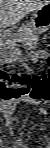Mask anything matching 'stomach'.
Returning <instances> with one entry per match:
<instances>
[{"label":"stomach","instance_id":"0dacf381","mask_svg":"<svg viewBox=\"0 0 50 148\" xmlns=\"http://www.w3.org/2000/svg\"><path fill=\"white\" fill-rule=\"evenodd\" d=\"M31 27L38 33L45 32L50 28L49 4L36 10L31 18ZM6 49V55L3 58V61L5 62H12L17 58L18 55H20V51L18 49H15L14 46L8 47Z\"/></svg>","mask_w":50,"mask_h":148}]
</instances>
